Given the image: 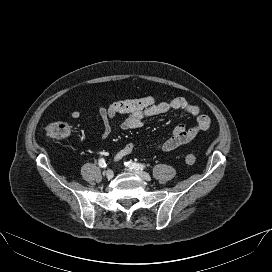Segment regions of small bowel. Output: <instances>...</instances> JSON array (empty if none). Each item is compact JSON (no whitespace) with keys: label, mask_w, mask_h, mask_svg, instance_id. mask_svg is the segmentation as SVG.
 <instances>
[{"label":"small bowel","mask_w":272,"mask_h":272,"mask_svg":"<svg viewBox=\"0 0 272 272\" xmlns=\"http://www.w3.org/2000/svg\"><path fill=\"white\" fill-rule=\"evenodd\" d=\"M172 110L184 112L196 121L192 127L177 126L171 135L161 141L158 148L161 151L169 152L195 140L199 134L209 129L210 118L201 112L198 105L189 102L185 98L177 97L168 101H158L152 96L134 98L128 100L114 101L108 105H99L98 112L103 123L101 133L102 139H107L112 133V122L117 115H126L120 127L123 130H133L140 128L146 118L163 115ZM70 116L73 119H80L82 113L79 110H72ZM135 152V144L128 142L115 155V160H120L125 156Z\"/></svg>","instance_id":"small-bowel-1"}]
</instances>
